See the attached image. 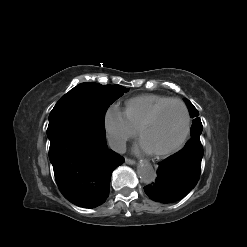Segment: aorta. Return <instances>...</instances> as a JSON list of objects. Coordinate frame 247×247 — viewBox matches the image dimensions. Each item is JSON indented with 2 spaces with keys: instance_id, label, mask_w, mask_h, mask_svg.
I'll return each mask as SVG.
<instances>
[{
  "instance_id": "aorta-1",
  "label": "aorta",
  "mask_w": 247,
  "mask_h": 247,
  "mask_svg": "<svg viewBox=\"0 0 247 247\" xmlns=\"http://www.w3.org/2000/svg\"><path fill=\"white\" fill-rule=\"evenodd\" d=\"M138 176L143 183L151 184L155 182L156 171L150 163L142 162L138 165Z\"/></svg>"
}]
</instances>
